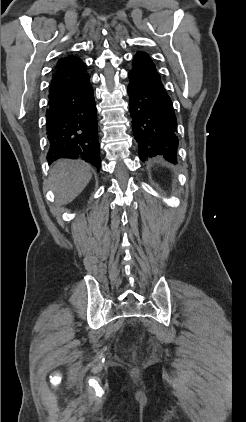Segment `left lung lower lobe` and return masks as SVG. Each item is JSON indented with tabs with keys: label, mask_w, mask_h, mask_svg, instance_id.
I'll use <instances>...</instances> for the list:
<instances>
[{
	"label": "left lung lower lobe",
	"mask_w": 246,
	"mask_h": 422,
	"mask_svg": "<svg viewBox=\"0 0 246 422\" xmlns=\"http://www.w3.org/2000/svg\"><path fill=\"white\" fill-rule=\"evenodd\" d=\"M132 65L128 73L129 109L139 157L146 161L149 157L162 155L167 161L176 163L177 120L171 98L147 53L137 52Z\"/></svg>",
	"instance_id": "0a47b994"
}]
</instances>
